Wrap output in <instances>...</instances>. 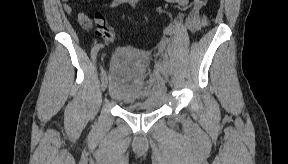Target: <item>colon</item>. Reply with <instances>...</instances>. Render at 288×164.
<instances>
[{"label":"colon","instance_id":"1","mask_svg":"<svg viewBox=\"0 0 288 164\" xmlns=\"http://www.w3.org/2000/svg\"><path fill=\"white\" fill-rule=\"evenodd\" d=\"M103 19L104 16L100 11H95L93 13L92 20L95 34L98 38L108 42H114L116 40V35Z\"/></svg>","mask_w":288,"mask_h":164}]
</instances>
